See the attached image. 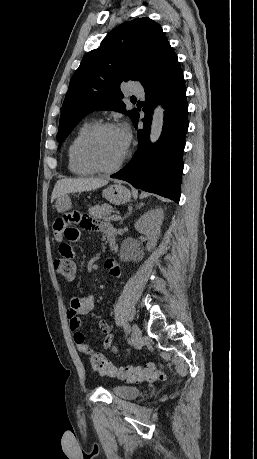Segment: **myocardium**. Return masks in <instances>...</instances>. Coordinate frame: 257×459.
Wrapping results in <instances>:
<instances>
[{
	"label": "myocardium",
	"mask_w": 257,
	"mask_h": 459,
	"mask_svg": "<svg viewBox=\"0 0 257 459\" xmlns=\"http://www.w3.org/2000/svg\"><path fill=\"white\" fill-rule=\"evenodd\" d=\"M117 128L114 123L102 122L94 125L82 138L78 147V156L81 163L94 172L112 173L118 170L129 155L128 149L124 152L122 157L111 166H102L98 164L90 154V146L94 139L104 130Z\"/></svg>",
	"instance_id": "1"
}]
</instances>
